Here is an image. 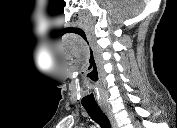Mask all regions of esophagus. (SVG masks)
I'll return each mask as SVG.
<instances>
[{
	"label": "esophagus",
	"instance_id": "esophagus-1",
	"mask_svg": "<svg viewBox=\"0 0 177 128\" xmlns=\"http://www.w3.org/2000/svg\"><path fill=\"white\" fill-rule=\"evenodd\" d=\"M100 107H101V110L104 112V114L109 119L112 128H118L117 122L115 120V117H114V114L111 108L107 105H101Z\"/></svg>",
	"mask_w": 177,
	"mask_h": 128
}]
</instances>
